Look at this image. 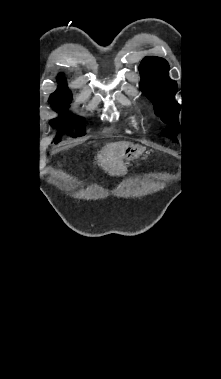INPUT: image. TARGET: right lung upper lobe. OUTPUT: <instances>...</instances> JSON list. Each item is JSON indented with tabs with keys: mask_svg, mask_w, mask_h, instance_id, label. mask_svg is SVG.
I'll list each match as a JSON object with an SVG mask.
<instances>
[{
	"mask_svg": "<svg viewBox=\"0 0 221 379\" xmlns=\"http://www.w3.org/2000/svg\"><path fill=\"white\" fill-rule=\"evenodd\" d=\"M64 78L62 75H59V82L61 85L58 87V89L51 94L50 96V103H61V102H70L71 101V92L70 90L63 84Z\"/></svg>",
	"mask_w": 221,
	"mask_h": 379,
	"instance_id": "cb5924a9",
	"label": "right lung upper lobe"
}]
</instances>
